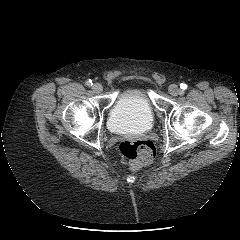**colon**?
I'll return each mask as SVG.
<instances>
[{
  "label": "colon",
  "instance_id": "1",
  "mask_svg": "<svg viewBox=\"0 0 240 240\" xmlns=\"http://www.w3.org/2000/svg\"><path fill=\"white\" fill-rule=\"evenodd\" d=\"M121 155L128 161L131 169H140L152 162L155 157V146L149 140H123L119 144Z\"/></svg>",
  "mask_w": 240,
  "mask_h": 240
}]
</instances>
